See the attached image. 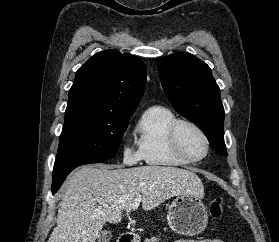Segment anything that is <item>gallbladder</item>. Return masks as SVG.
Wrapping results in <instances>:
<instances>
[{
    "instance_id": "gallbladder-1",
    "label": "gallbladder",
    "mask_w": 279,
    "mask_h": 242,
    "mask_svg": "<svg viewBox=\"0 0 279 242\" xmlns=\"http://www.w3.org/2000/svg\"><path fill=\"white\" fill-rule=\"evenodd\" d=\"M112 234L109 230H104L98 235L99 242H110Z\"/></svg>"
}]
</instances>
